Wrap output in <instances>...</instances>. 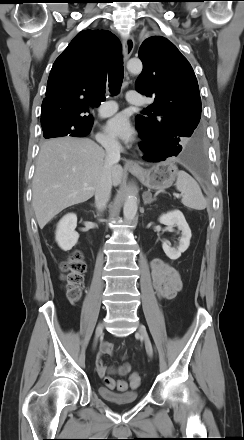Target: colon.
I'll list each match as a JSON object with an SVG mask.
<instances>
[{
	"mask_svg": "<svg viewBox=\"0 0 244 440\" xmlns=\"http://www.w3.org/2000/svg\"><path fill=\"white\" fill-rule=\"evenodd\" d=\"M60 269L62 272V281L64 283L66 297L71 303H76L81 296L80 286L83 282L84 273L86 271V264L83 260L82 254L79 251H73L61 263ZM103 382L109 389L124 391L128 387L126 381L116 380L110 376L104 377ZM139 385L140 377L137 373H133L130 378V386L132 388H138Z\"/></svg>",
	"mask_w": 244,
	"mask_h": 440,
	"instance_id": "obj_1",
	"label": "colon"
}]
</instances>
